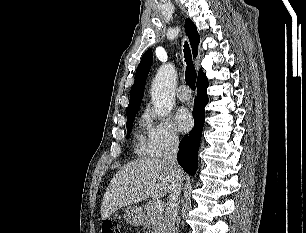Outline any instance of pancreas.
<instances>
[{"label": "pancreas", "instance_id": "1", "mask_svg": "<svg viewBox=\"0 0 306 233\" xmlns=\"http://www.w3.org/2000/svg\"><path fill=\"white\" fill-rule=\"evenodd\" d=\"M145 211L144 228L149 233H166L163 209L156 211L152 204H147L145 205Z\"/></svg>", "mask_w": 306, "mask_h": 233}]
</instances>
